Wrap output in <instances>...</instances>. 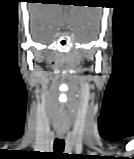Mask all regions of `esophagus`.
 <instances>
[{
  "instance_id": "34e87169",
  "label": "esophagus",
  "mask_w": 134,
  "mask_h": 159,
  "mask_svg": "<svg viewBox=\"0 0 134 159\" xmlns=\"http://www.w3.org/2000/svg\"><path fill=\"white\" fill-rule=\"evenodd\" d=\"M58 137L61 139L63 138V134H58Z\"/></svg>"
}]
</instances>
